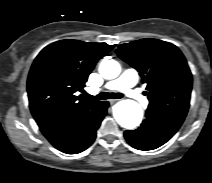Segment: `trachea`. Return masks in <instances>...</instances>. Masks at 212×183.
Here are the masks:
<instances>
[{
    "label": "trachea",
    "instance_id": "1",
    "mask_svg": "<svg viewBox=\"0 0 212 183\" xmlns=\"http://www.w3.org/2000/svg\"><path fill=\"white\" fill-rule=\"evenodd\" d=\"M123 96L124 95L122 93H108V92H102V93L98 94L97 96L88 95L89 98H93L96 100H105L108 98L119 99V98H122Z\"/></svg>",
    "mask_w": 212,
    "mask_h": 183
}]
</instances>
